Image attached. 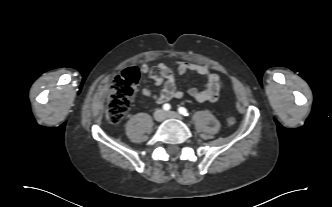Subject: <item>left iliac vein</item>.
I'll use <instances>...</instances> for the list:
<instances>
[{
    "label": "left iliac vein",
    "instance_id": "1",
    "mask_svg": "<svg viewBox=\"0 0 332 207\" xmlns=\"http://www.w3.org/2000/svg\"><path fill=\"white\" fill-rule=\"evenodd\" d=\"M167 118H173V119H178V120H183V118L176 112L174 111H169L165 114Z\"/></svg>",
    "mask_w": 332,
    "mask_h": 207
}]
</instances>
